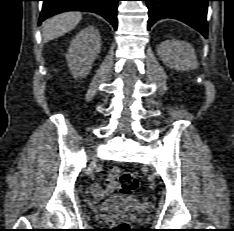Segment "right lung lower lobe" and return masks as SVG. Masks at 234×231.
<instances>
[{"label": "right lung lower lobe", "mask_w": 234, "mask_h": 231, "mask_svg": "<svg viewBox=\"0 0 234 231\" xmlns=\"http://www.w3.org/2000/svg\"><path fill=\"white\" fill-rule=\"evenodd\" d=\"M43 7L39 23L65 11L94 12L107 19L117 29V2L119 0H42Z\"/></svg>", "instance_id": "right-lung-lower-lobe-1"}]
</instances>
